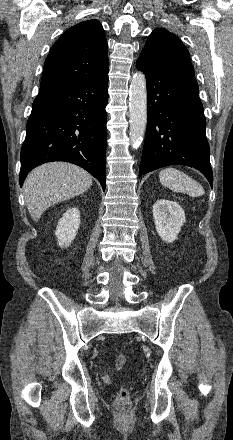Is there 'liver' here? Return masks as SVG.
Segmentation results:
<instances>
[{
  "mask_svg": "<svg viewBox=\"0 0 233 440\" xmlns=\"http://www.w3.org/2000/svg\"><path fill=\"white\" fill-rule=\"evenodd\" d=\"M92 185L84 169L64 162L43 164L32 170L23 185L25 202L34 221L52 205L76 197Z\"/></svg>",
  "mask_w": 233,
  "mask_h": 440,
  "instance_id": "liver-1",
  "label": "liver"
}]
</instances>
